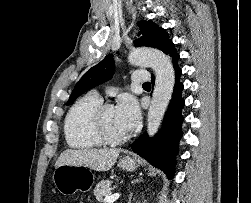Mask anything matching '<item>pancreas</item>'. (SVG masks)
Instances as JSON below:
<instances>
[{
	"label": "pancreas",
	"mask_w": 251,
	"mask_h": 203,
	"mask_svg": "<svg viewBox=\"0 0 251 203\" xmlns=\"http://www.w3.org/2000/svg\"><path fill=\"white\" fill-rule=\"evenodd\" d=\"M111 181L109 180H102L101 182H99L95 189H94V195L96 197V199L99 202H104V197L111 195Z\"/></svg>",
	"instance_id": "pancreas-1"
}]
</instances>
